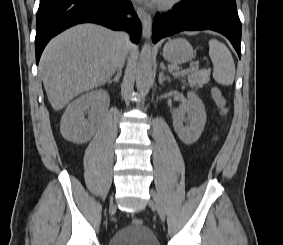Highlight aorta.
<instances>
[{"label": "aorta", "instance_id": "762f6f07", "mask_svg": "<svg viewBox=\"0 0 283 245\" xmlns=\"http://www.w3.org/2000/svg\"><path fill=\"white\" fill-rule=\"evenodd\" d=\"M152 78L151 46L145 43L142 47L136 69V85L140 94L145 93Z\"/></svg>", "mask_w": 283, "mask_h": 245}]
</instances>
